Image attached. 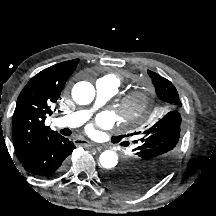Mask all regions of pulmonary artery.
Instances as JSON below:
<instances>
[{
    "label": "pulmonary artery",
    "instance_id": "pulmonary-artery-1",
    "mask_svg": "<svg viewBox=\"0 0 216 216\" xmlns=\"http://www.w3.org/2000/svg\"><path fill=\"white\" fill-rule=\"evenodd\" d=\"M118 85L110 77H102L96 82V102L95 107L103 105L117 91ZM90 110H82L55 119L58 126L74 128L82 125L90 116Z\"/></svg>",
    "mask_w": 216,
    "mask_h": 216
}]
</instances>
